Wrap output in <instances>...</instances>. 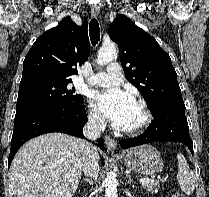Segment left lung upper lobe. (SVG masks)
Wrapping results in <instances>:
<instances>
[{"label": "left lung upper lobe", "instance_id": "1", "mask_svg": "<svg viewBox=\"0 0 209 197\" xmlns=\"http://www.w3.org/2000/svg\"><path fill=\"white\" fill-rule=\"evenodd\" d=\"M109 36L119 46L126 78L151 112L161 105L184 103L171 58L151 35L120 15L109 26Z\"/></svg>", "mask_w": 209, "mask_h": 197}]
</instances>
